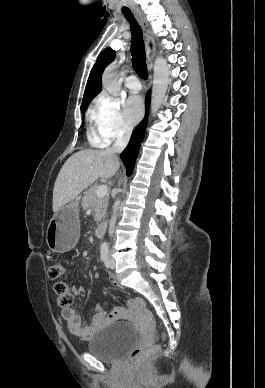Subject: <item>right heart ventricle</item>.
Here are the masks:
<instances>
[{
	"label": "right heart ventricle",
	"instance_id": "1",
	"mask_svg": "<svg viewBox=\"0 0 265 388\" xmlns=\"http://www.w3.org/2000/svg\"><path fill=\"white\" fill-rule=\"evenodd\" d=\"M89 136H90V139H91L93 142H95V143H97V144H99V145H102V144H104V142H105V140L100 139L98 136H96V134L94 133V131H93L92 129L90 130Z\"/></svg>",
	"mask_w": 265,
	"mask_h": 388
}]
</instances>
